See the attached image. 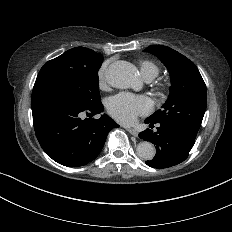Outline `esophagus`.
Instances as JSON below:
<instances>
[{
	"instance_id": "obj_1",
	"label": "esophagus",
	"mask_w": 232,
	"mask_h": 232,
	"mask_svg": "<svg viewBox=\"0 0 232 232\" xmlns=\"http://www.w3.org/2000/svg\"><path fill=\"white\" fill-rule=\"evenodd\" d=\"M126 130L130 133V134H132L133 136H138V132L135 130V129H133V128H126Z\"/></svg>"
}]
</instances>
